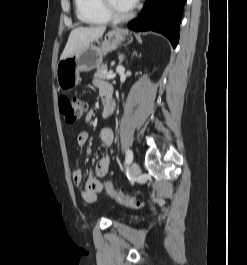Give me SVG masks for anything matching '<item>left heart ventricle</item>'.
Masks as SVG:
<instances>
[{"label": "left heart ventricle", "mask_w": 247, "mask_h": 265, "mask_svg": "<svg viewBox=\"0 0 247 265\" xmlns=\"http://www.w3.org/2000/svg\"><path fill=\"white\" fill-rule=\"evenodd\" d=\"M108 1L119 13H126L131 9L121 0H108Z\"/></svg>", "instance_id": "b2bd125f"}]
</instances>
